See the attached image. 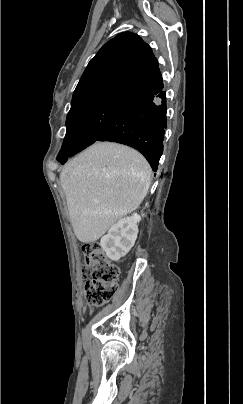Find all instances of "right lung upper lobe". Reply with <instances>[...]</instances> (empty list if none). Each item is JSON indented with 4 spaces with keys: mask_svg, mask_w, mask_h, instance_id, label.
Returning <instances> with one entry per match:
<instances>
[{
    "mask_svg": "<svg viewBox=\"0 0 243 404\" xmlns=\"http://www.w3.org/2000/svg\"><path fill=\"white\" fill-rule=\"evenodd\" d=\"M163 89L158 62L138 35L124 32L90 60L73 94L71 109L101 100L129 101Z\"/></svg>",
    "mask_w": 243,
    "mask_h": 404,
    "instance_id": "cb5924a9",
    "label": "right lung upper lobe"
}]
</instances>
